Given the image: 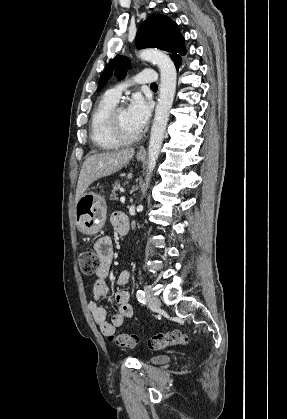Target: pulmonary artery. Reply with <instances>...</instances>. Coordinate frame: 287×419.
Instances as JSON below:
<instances>
[{"mask_svg":"<svg viewBox=\"0 0 287 419\" xmlns=\"http://www.w3.org/2000/svg\"><path fill=\"white\" fill-rule=\"evenodd\" d=\"M158 79V76L156 72L152 70H143L133 78L134 84H146V83H156ZM128 86L127 83L119 84L112 89L108 90V95L114 98L115 100H118L121 96L122 91Z\"/></svg>","mask_w":287,"mask_h":419,"instance_id":"obj_1","label":"pulmonary artery"}]
</instances>
